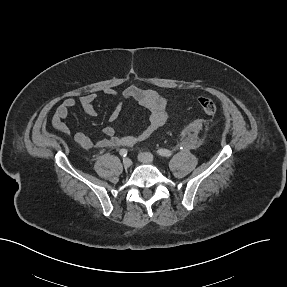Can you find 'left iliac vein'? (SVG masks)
Listing matches in <instances>:
<instances>
[{"instance_id": "4c4485c4", "label": "left iliac vein", "mask_w": 287, "mask_h": 287, "mask_svg": "<svg viewBox=\"0 0 287 287\" xmlns=\"http://www.w3.org/2000/svg\"><path fill=\"white\" fill-rule=\"evenodd\" d=\"M138 159L142 163H146V164H153L154 163L153 155L151 153H148V152L140 153L138 155Z\"/></svg>"}]
</instances>
